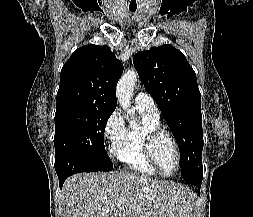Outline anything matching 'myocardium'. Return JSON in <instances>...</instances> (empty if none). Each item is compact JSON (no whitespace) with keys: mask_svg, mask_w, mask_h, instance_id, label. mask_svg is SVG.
<instances>
[{"mask_svg":"<svg viewBox=\"0 0 253 217\" xmlns=\"http://www.w3.org/2000/svg\"><path fill=\"white\" fill-rule=\"evenodd\" d=\"M162 136H166L170 139V141L173 144L175 153H176L177 165H176L175 171L171 174H166L161 170V168L156 160V157H155V152H154L155 143ZM144 152H145V155H146L149 163L154 167V169L161 176L171 177V176H174L179 171L180 166H181L180 147L177 142V139L170 131L162 129V128H156V129L148 131L145 135V138H144Z\"/></svg>","mask_w":253,"mask_h":217,"instance_id":"myocardium-1","label":"myocardium"}]
</instances>
